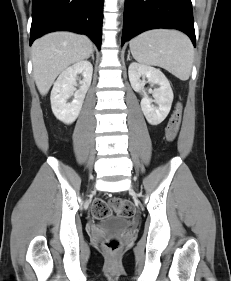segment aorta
<instances>
[{
	"instance_id": "762f6f07",
	"label": "aorta",
	"mask_w": 231,
	"mask_h": 281,
	"mask_svg": "<svg viewBox=\"0 0 231 281\" xmlns=\"http://www.w3.org/2000/svg\"><path fill=\"white\" fill-rule=\"evenodd\" d=\"M124 2V0H120V3L122 4Z\"/></svg>"
}]
</instances>
